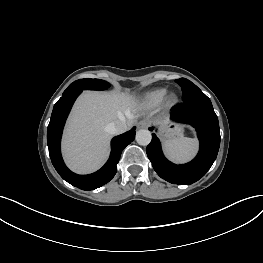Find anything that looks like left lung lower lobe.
I'll return each instance as SVG.
<instances>
[{"instance_id": "1", "label": "left lung lower lobe", "mask_w": 263, "mask_h": 263, "mask_svg": "<svg viewBox=\"0 0 263 263\" xmlns=\"http://www.w3.org/2000/svg\"><path fill=\"white\" fill-rule=\"evenodd\" d=\"M171 119L188 123L196 129L200 141L198 155L187 164L171 163L164 157L155 133L152 134L146 152L154 170L161 178L173 184L190 185L206 174L217 157L220 146L218 118L210 99L204 94L175 105ZM149 130L153 131L154 127H150Z\"/></svg>"}]
</instances>
